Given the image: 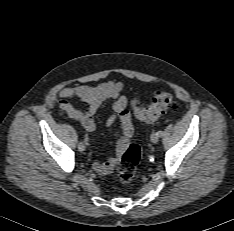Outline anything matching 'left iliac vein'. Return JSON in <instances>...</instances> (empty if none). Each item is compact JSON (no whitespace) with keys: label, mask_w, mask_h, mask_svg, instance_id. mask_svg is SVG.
<instances>
[{"label":"left iliac vein","mask_w":234,"mask_h":231,"mask_svg":"<svg viewBox=\"0 0 234 231\" xmlns=\"http://www.w3.org/2000/svg\"><path fill=\"white\" fill-rule=\"evenodd\" d=\"M150 139L152 143H157L159 141V136L157 133L153 132L150 136Z\"/></svg>","instance_id":"1"}]
</instances>
